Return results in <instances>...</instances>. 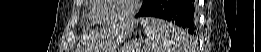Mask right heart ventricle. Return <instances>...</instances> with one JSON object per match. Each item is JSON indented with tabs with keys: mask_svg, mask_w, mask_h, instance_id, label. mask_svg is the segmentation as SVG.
<instances>
[{
	"mask_svg": "<svg viewBox=\"0 0 261 52\" xmlns=\"http://www.w3.org/2000/svg\"><path fill=\"white\" fill-rule=\"evenodd\" d=\"M97 5H98V3L96 1H92L91 5L89 7V10H88L89 19L93 24H98L97 19L94 14L95 10L97 9Z\"/></svg>",
	"mask_w": 261,
	"mask_h": 52,
	"instance_id": "obj_1",
	"label": "right heart ventricle"
}]
</instances>
